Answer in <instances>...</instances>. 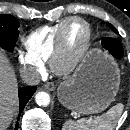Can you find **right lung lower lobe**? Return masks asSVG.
Returning a JSON list of instances; mask_svg holds the SVG:
<instances>
[{"mask_svg":"<svg viewBox=\"0 0 130 130\" xmlns=\"http://www.w3.org/2000/svg\"><path fill=\"white\" fill-rule=\"evenodd\" d=\"M37 87L36 86H30V87H25L21 88L19 90V116L21 112L23 111L25 105L29 101V99L32 97L34 92L36 91ZM19 119V118H18ZM18 129V123L16 124L15 130Z\"/></svg>","mask_w":130,"mask_h":130,"instance_id":"right-lung-lower-lobe-1","label":"right lung lower lobe"}]
</instances>
